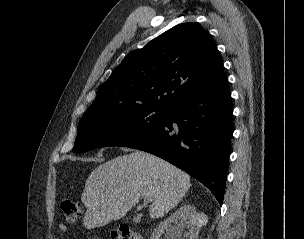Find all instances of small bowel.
Segmentation results:
<instances>
[{
    "instance_id": "small-bowel-1",
    "label": "small bowel",
    "mask_w": 304,
    "mask_h": 239,
    "mask_svg": "<svg viewBox=\"0 0 304 239\" xmlns=\"http://www.w3.org/2000/svg\"><path fill=\"white\" fill-rule=\"evenodd\" d=\"M58 229H59V231L62 232V233L67 232V226H66L64 223H60V224L58 225Z\"/></svg>"
}]
</instances>
